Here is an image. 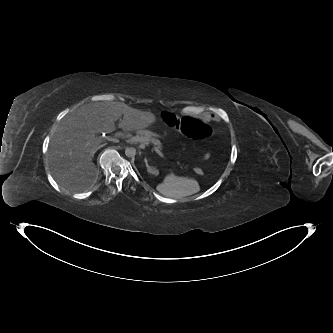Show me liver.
Returning <instances> with one entry per match:
<instances>
[{"label":"liver","instance_id":"liver-1","mask_svg":"<svg viewBox=\"0 0 333 333\" xmlns=\"http://www.w3.org/2000/svg\"><path fill=\"white\" fill-rule=\"evenodd\" d=\"M123 115V131L144 129L156 121L152 112L141 111L121 102L89 103L67 115L50 142L48 161L56 182L74 191L89 189L98 172L92 158L99 148V133L115 131Z\"/></svg>","mask_w":333,"mask_h":333}]
</instances>
